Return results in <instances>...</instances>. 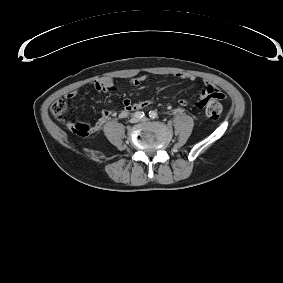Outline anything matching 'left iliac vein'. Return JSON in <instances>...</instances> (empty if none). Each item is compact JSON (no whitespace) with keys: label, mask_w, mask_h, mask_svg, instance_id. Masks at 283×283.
<instances>
[{"label":"left iliac vein","mask_w":283,"mask_h":283,"mask_svg":"<svg viewBox=\"0 0 283 283\" xmlns=\"http://www.w3.org/2000/svg\"><path fill=\"white\" fill-rule=\"evenodd\" d=\"M140 121H142V122H147V121H148V118L144 117V118H142Z\"/></svg>","instance_id":"1"}]
</instances>
